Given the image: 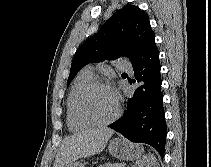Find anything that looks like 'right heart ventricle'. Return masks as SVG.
Segmentation results:
<instances>
[{
	"instance_id": "e07e8e85",
	"label": "right heart ventricle",
	"mask_w": 211,
	"mask_h": 167,
	"mask_svg": "<svg viewBox=\"0 0 211 167\" xmlns=\"http://www.w3.org/2000/svg\"><path fill=\"white\" fill-rule=\"evenodd\" d=\"M93 80V75L88 70H82L75 78L66 100L67 125L72 131H81L91 125L79 118L76 112V100L80 91Z\"/></svg>"
}]
</instances>
